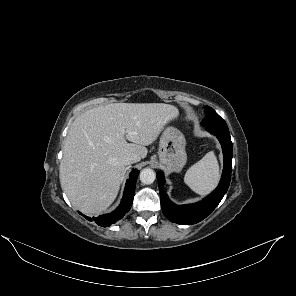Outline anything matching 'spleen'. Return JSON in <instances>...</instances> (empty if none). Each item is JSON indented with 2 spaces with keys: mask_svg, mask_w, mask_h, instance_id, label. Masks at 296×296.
<instances>
[{
  "mask_svg": "<svg viewBox=\"0 0 296 296\" xmlns=\"http://www.w3.org/2000/svg\"><path fill=\"white\" fill-rule=\"evenodd\" d=\"M219 179V165L213 151L193 164L186 172L184 182L197 194L205 195L212 191Z\"/></svg>",
  "mask_w": 296,
  "mask_h": 296,
  "instance_id": "obj_1",
  "label": "spleen"
}]
</instances>
